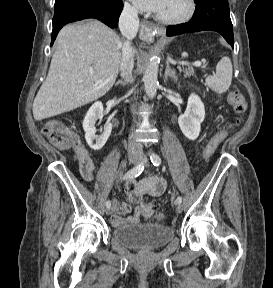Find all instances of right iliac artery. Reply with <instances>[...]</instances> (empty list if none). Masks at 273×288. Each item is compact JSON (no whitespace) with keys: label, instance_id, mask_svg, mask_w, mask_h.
Instances as JSON below:
<instances>
[{"label":"right iliac artery","instance_id":"right-iliac-artery-1","mask_svg":"<svg viewBox=\"0 0 273 288\" xmlns=\"http://www.w3.org/2000/svg\"><path fill=\"white\" fill-rule=\"evenodd\" d=\"M147 161V157H145L139 164H137L135 167H133L132 169H130L124 176H123V180L125 179H132L135 178L137 176H139L142 171L144 170V166L145 163ZM111 206V202L108 200L106 202V207H110Z\"/></svg>","mask_w":273,"mask_h":288}]
</instances>
